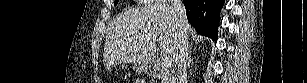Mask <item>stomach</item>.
<instances>
[{
    "label": "stomach",
    "mask_w": 307,
    "mask_h": 83,
    "mask_svg": "<svg viewBox=\"0 0 307 83\" xmlns=\"http://www.w3.org/2000/svg\"><path fill=\"white\" fill-rule=\"evenodd\" d=\"M139 69H140V70H145L144 67H142L141 65H140Z\"/></svg>",
    "instance_id": "0dacf381"
}]
</instances>
